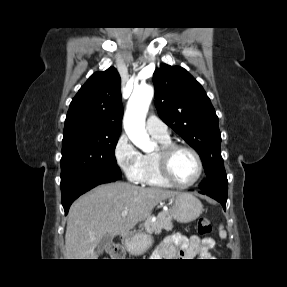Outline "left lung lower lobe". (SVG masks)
Wrapping results in <instances>:
<instances>
[{
  "instance_id": "0a47b994",
  "label": "left lung lower lobe",
  "mask_w": 287,
  "mask_h": 287,
  "mask_svg": "<svg viewBox=\"0 0 287 287\" xmlns=\"http://www.w3.org/2000/svg\"><path fill=\"white\" fill-rule=\"evenodd\" d=\"M202 194H206L210 197H212L213 199L217 200L218 202H220L224 208V210L226 209V201H227V196L218 194V193H213V192H208V191H202Z\"/></svg>"
}]
</instances>
